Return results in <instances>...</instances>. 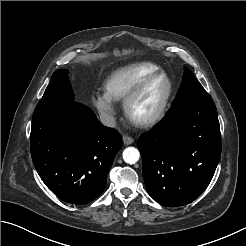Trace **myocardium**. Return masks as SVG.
<instances>
[{
	"instance_id": "f54148a6",
	"label": "myocardium",
	"mask_w": 246,
	"mask_h": 246,
	"mask_svg": "<svg viewBox=\"0 0 246 246\" xmlns=\"http://www.w3.org/2000/svg\"><path fill=\"white\" fill-rule=\"evenodd\" d=\"M159 77L166 78V80L168 82V91H167V94H166L161 106L153 115H151L149 117H146V118L136 117L132 111V108H133L135 101L142 94V92L145 90V88L153 80H155L156 78H159ZM173 92H174V85H173V81L170 78V76L162 70L158 71V72H154V73L146 76L145 78H143L126 96V98L124 99V103H123L125 114L128 117V119L131 122H133L135 125H137L139 127H150V126L156 124L157 122H159L164 117V115L166 114L168 107L170 105L172 96H173Z\"/></svg>"
}]
</instances>
